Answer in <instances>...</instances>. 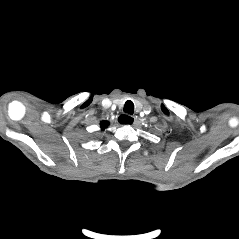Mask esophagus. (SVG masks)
<instances>
[{
  "label": "esophagus",
  "mask_w": 239,
  "mask_h": 239,
  "mask_svg": "<svg viewBox=\"0 0 239 239\" xmlns=\"http://www.w3.org/2000/svg\"><path fill=\"white\" fill-rule=\"evenodd\" d=\"M119 123L121 124H135L137 122V117H130L127 115H120L118 118Z\"/></svg>",
  "instance_id": "esophagus-1"
}]
</instances>
